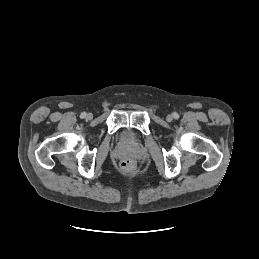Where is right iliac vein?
Segmentation results:
<instances>
[{
	"label": "right iliac vein",
	"mask_w": 259,
	"mask_h": 259,
	"mask_svg": "<svg viewBox=\"0 0 259 259\" xmlns=\"http://www.w3.org/2000/svg\"><path fill=\"white\" fill-rule=\"evenodd\" d=\"M86 118H87L88 120H91V119L93 118V115H92L91 113H89V114L86 115Z\"/></svg>",
	"instance_id": "63e3f726"
}]
</instances>
